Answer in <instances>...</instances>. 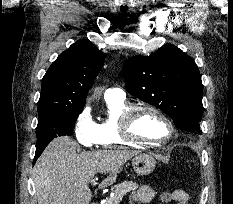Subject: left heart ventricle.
Instances as JSON below:
<instances>
[{
	"mask_svg": "<svg viewBox=\"0 0 233 204\" xmlns=\"http://www.w3.org/2000/svg\"><path fill=\"white\" fill-rule=\"evenodd\" d=\"M132 130L138 137L156 141L165 139L169 132L166 123L150 111L136 115Z\"/></svg>",
	"mask_w": 233,
	"mask_h": 204,
	"instance_id": "1",
	"label": "left heart ventricle"
}]
</instances>
